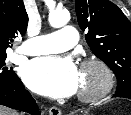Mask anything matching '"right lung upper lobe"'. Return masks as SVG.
<instances>
[{"label":"right lung upper lobe","instance_id":"cb5924a9","mask_svg":"<svg viewBox=\"0 0 131 115\" xmlns=\"http://www.w3.org/2000/svg\"><path fill=\"white\" fill-rule=\"evenodd\" d=\"M27 24L23 0H0V54L12 47L14 38L25 34Z\"/></svg>","mask_w":131,"mask_h":115}]
</instances>
